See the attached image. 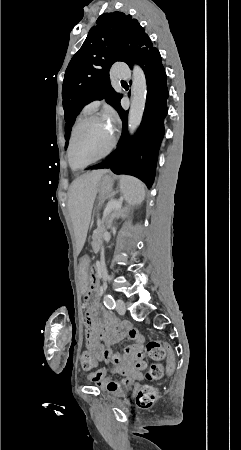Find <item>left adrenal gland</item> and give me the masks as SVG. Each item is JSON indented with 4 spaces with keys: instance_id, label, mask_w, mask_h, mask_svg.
<instances>
[{
    "instance_id": "obj_1",
    "label": "left adrenal gland",
    "mask_w": 241,
    "mask_h": 450,
    "mask_svg": "<svg viewBox=\"0 0 241 450\" xmlns=\"http://www.w3.org/2000/svg\"><path fill=\"white\" fill-rule=\"evenodd\" d=\"M125 208H121V210H117L115 218H124Z\"/></svg>"
}]
</instances>
